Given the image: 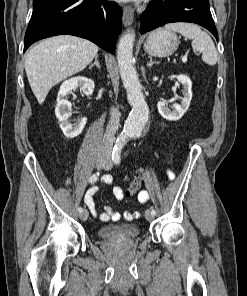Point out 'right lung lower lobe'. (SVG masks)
Masks as SVG:
<instances>
[{"label": "right lung lower lobe", "mask_w": 247, "mask_h": 296, "mask_svg": "<svg viewBox=\"0 0 247 296\" xmlns=\"http://www.w3.org/2000/svg\"><path fill=\"white\" fill-rule=\"evenodd\" d=\"M122 9L106 0H33L24 52L34 42L59 34L86 38L115 53Z\"/></svg>", "instance_id": "obj_1"}]
</instances>
